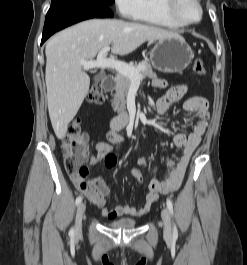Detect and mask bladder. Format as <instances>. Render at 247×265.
Returning a JSON list of instances; mask_svg holds the SVG:
<instances>
[{"label":"bladder","mask_w":247,"mask_h":265,"mask_svg":"<svg viewBox=\"0 0 247 265\" xmlns=\"http://www.w3.org/2000/svg\"><path fill=\"white\" fill-rule=\"evenodd\" d=\"M137 225L138 222L134 219H118L107 223V226L112 229H133Z\"/></svg>","instance_id":"31cf9c89"}]
</instances>
